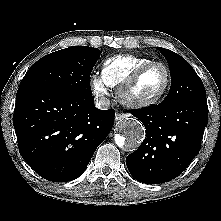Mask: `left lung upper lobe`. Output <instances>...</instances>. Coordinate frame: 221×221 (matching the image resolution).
<instances>
[{"instance_id":"left-lung-upper-lobe-1","label":"left lung upper lobe","mask_w":221,"mask_h":221,"mask_svg":"<svg viewBox=\"0 0 221 221\" xmlns=\"http://www.w3.org/2000/svg\"><path fill=\"white\" fill-rule=\"evenodd\" d=\"M169 64L171 87L162 101L174 104L190 97H206L205 87L192 66L175 52L158 47Z\"/></svg>"}]
</instances>
